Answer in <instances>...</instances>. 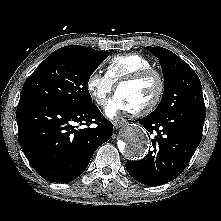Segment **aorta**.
I'll return each instance as SVG.
<instances>
[{"instance_id":"1","label":"aorta","mask_w":221,"mask_h":221,"mask_svg":"<svg viewBox=\"0 0 221 221\" xmlns=\"http://www.w3.org/2000/svg\"><path fill=\"white\" fill-rule=\"evenodd\" d=\"M124 142L121 152L130 159L143 158L149 148V136L139 126H129L124 131Z\"/></svg>"}]
</instances>
